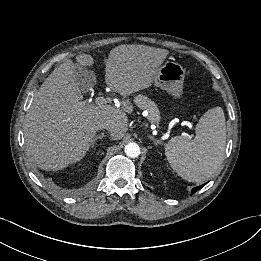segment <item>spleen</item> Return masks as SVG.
Here are the masks:
<instances>
[{
  "label": "spleen",
  "mask_w": 261,
  "mask_h": 261,
  "mask_svg": "<svg viewBox=\"0 0 261 261\" xmlns=\"http://www.w3.org/2000/svg\"><path fill=\"white\" fill-rule=\"evenodd\" d=\"M226 145L225 116L221 107L209 109L196 125L193 140L175 136L165 146L173 170L189 182L210 178L224 160Z\"/></svg>",
  "instance_id": "spleen-1"
}]
</instances>
